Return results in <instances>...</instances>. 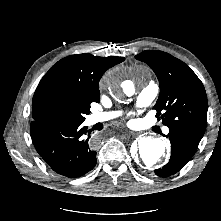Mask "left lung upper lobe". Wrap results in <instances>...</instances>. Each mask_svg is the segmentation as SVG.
Returning a JSON list of instances; mask_svg holds the SVG:
<instances>
[{
  "label": "left lung upper lobe",
  "mask_w": 221,
  "mask_h": 221,
  "mask_svg": "<svg viewBox=\"0 0 221 221\" xmlns=\"http://www.w3.org/2000/svg\"><path fill=\"white\" fill-rule=\"evenodd\" d=\"M147 63L158 77L160 95L154 106L163 124L204 135L208 102L204 86L196 74L181 60L158 50L135 56Z\"/></svg>",
  "instance_id": "left-lung-upper-lobe-1"
}]
</instances>
